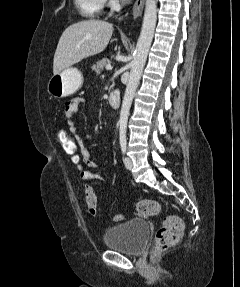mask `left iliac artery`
I'll return each mask as SVG.
<instances>
[{
	"instance_id": "44dca946",
	"label": "left iliac artery",
	"mask_w": 240,
	"mask_h": 287,
	"mask_svg": "<svg viewBox=\"0 0 240 287\" xmlns=\"http://www.w3.org/2000/svg\"><path fill=\"white\" fill-rule=\"evenodd\" d=\"M126 144H127V142L125 139L120 140L121 150H122L123 154H125V152H126Z\"/></svg>"
}]
</instances>
